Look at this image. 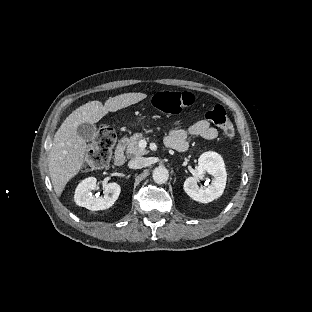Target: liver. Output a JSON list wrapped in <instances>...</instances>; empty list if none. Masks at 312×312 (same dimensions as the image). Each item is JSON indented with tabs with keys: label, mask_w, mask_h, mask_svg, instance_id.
Instances as JSON below:
<instances>
[{
	"label": "liver",
	"mask_w": 312,
	"mask_h": 312,
	"mask_svg": "<svg viewBox=\"0 0 312 312\" xmlns=\"http://www.w3.org/2000/svg\"><path fill=\"white\" fill-rule=\"evenodd\" d=\"M147 97L141 92L123 93L107 99L104 105L97 100L89 101L68 115L56 132L48 155L49 175L57 197L84 165L88 146L78 135L77 127L86 122L94 125L110 112H117Z\"/></svg>",
	"instance_id": "liver-1"
}]
</instances>
